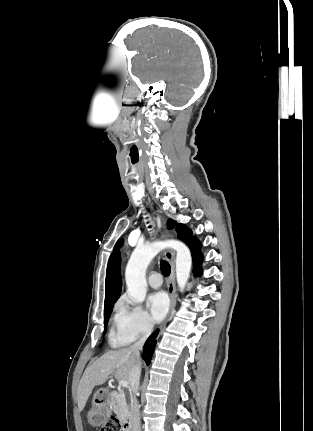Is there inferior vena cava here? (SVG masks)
I'll return each instance as SVG.
<instances>
[{
  "mask_svg": "<svg viewBox=\"0 0 313 431\" xmlns=\"http://www.w3.org/2000/svg\"><path fill=\"white\" fill-rule=\"evenodd\" d=\"M153 328L152 323H148L144 335L130 347L135 358H140V350H142L145 340ZM141 367L139 363H135L130 371L129 383L131 386V403L130 412L132 418V431H141L139 406L135 394L138 391Z\"/></svg>",
  "mask_w": 313,
  "mask_h": 431,
  "instance_id": "inferior-vena-cava-1",
  "label": "inferior vena cava"
}]
</instances>
